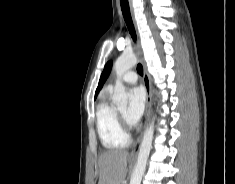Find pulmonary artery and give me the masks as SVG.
I'll use <instances>...</instances> for the list:
<instances>
[{"instance_id": "pulmonary-artery-1", "label": "pulmonary artery", "mask_w": 235, "mask_h": 184, "mask_svg": "<svg viewBox=\"0 0 235 184\" xmlns=\"http://www.w3.org/2000/svg\"><path fill=\"white\" fill-rule=\"evenodd\" d=\"M137 80H138V75L134 71H127L123 73L119 78L120 82H123L126 84H135ZM112 88H113V83H110L108 85V89L111 90Z\"/></svg>"}]
</instances>
